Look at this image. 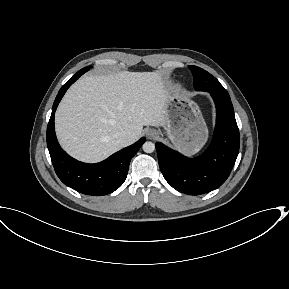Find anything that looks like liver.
<instances>
[{"label":"liver","mask_w":289,"mask_h":289,"mask_svg":"<svg viewBox=\"0 0 289 289\" xmlns=\"http://www.w3.org/2000/svg\"><path fill=\"white\" fill-rule=\"evenodd\" d=\"M158 72L84 76L66 92L55 114L62 148L84 162H99L142 135L143 126H164L169 91ZM125 132L121 145L114 138Z\"/></svg>","instance_id":"1"}]
</instances>
